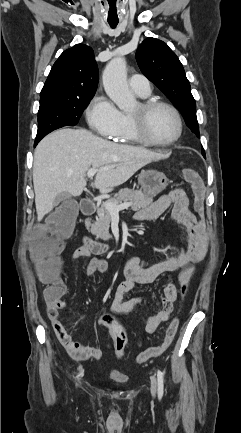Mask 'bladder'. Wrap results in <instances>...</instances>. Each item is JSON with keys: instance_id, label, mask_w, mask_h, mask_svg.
I'll list each match as a JSON object with an SVG mask.
<instances>
[{"instance_id": "31cf9c89", "label": "bladder", "mask_w": 241, "mask_h": 433, "mask_svg": "<svg viewBox=\"0 0 241 433\" xmlns=\"http://www.w3.org/2000/svg\"><path fill=\"white\" fill-rule=\"evenodd\" d=\"M110 378L118 384H126L127 382V378L124 375L114 371L110 373Z\"/></svg>"}]
</instances>
